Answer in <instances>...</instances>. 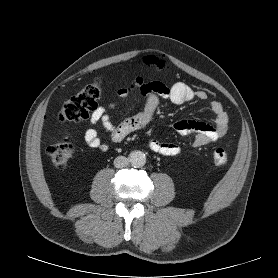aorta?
<instances>
[{"mask_svg": "<svg viewBox=\"0 0 278 278\" xmlns=\"http://www.w3.org/2000/svg\"><path fill=\"white\" fill-rule=\"evenodd\" d=\"M129 162L133 167H142L146 163V155L140 150L132 151L129 155Z\"/></svg>", "mask_w": 278, "mask_h": 278, "instance_id": "obj_1", "label": "aorta"}]
</instances>
